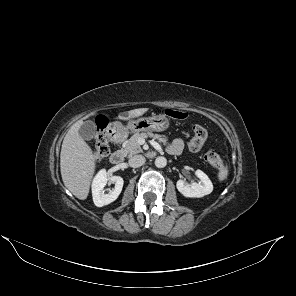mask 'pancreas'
Returning a JSON list of instances; mask_svg holds the SVG:
<instances>
[{"mask_svg": "<svg viewBox=\"0 0 296 296\" xmlns=\"http://www.w3.org/2000/svg\"><path fill=\"white\" fill-rule=\"evenodd\" d=\"M148 137L158 140V142L163 143L164 145H166L168 141V138L165 135L153 134L152 132L135 133L124 145L123 152L128 156H132L137 153L143 152L139 144V140L145 139Z\"/></svg>", "mask_w": 296, "mask_h": 296, "instance_id": "cf45deb5", "label": "pancreas"}]
</instances>
